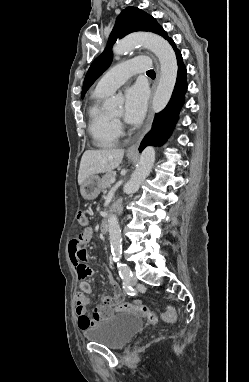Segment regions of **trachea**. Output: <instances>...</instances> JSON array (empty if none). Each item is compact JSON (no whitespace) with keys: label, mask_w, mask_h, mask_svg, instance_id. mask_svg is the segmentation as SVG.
<instances>
[{"label":"trachea","mask_w":249,"mask_h":382,"mask_svg":"<svg viewBox=\"0 0 249 382\" xmlns=\"http://www.w3.org/2000/svg\"><path fill=\"white\" fill-rule=\"evenodd\" d=\"M147 74H155L154 70H149L146 72Z\"/></svg>","instance_id":"1"}]
</instances>
